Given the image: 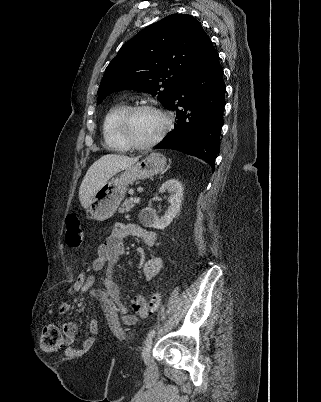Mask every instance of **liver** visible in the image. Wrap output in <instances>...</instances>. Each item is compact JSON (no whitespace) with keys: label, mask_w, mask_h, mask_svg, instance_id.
<instances>
[{"label":"liver","mask_w":321,"mask_h":402,"mask_svg":"<svg viewBox=\"0 0 321 402\" xmlns=\"http://www.w3.org/2000/svg\"><path fill=\"white\" fill-rule=\"evenodd\" d=\"M138 160L139 157L107 154L95 161L80 185L79 199L82 207L88 208L91 198L112 176L132 166Z\"/></svg>","instance_id":"obj_1"}]
</instances>
